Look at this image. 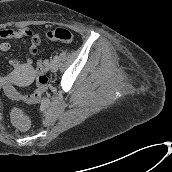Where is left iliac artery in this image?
I'll return each mask as SVG.
<instances>
[{"instance_id":"obj_1","label":"left iliac artery","mask_w":172,"mask_h":172,"mask_svg":"<svg viewBox=\"0 0 172 172\" xmlns=\"http://www.w3.org/2000/svg\"><path fill=\"white\" fill-rule=\"evenodd\" d=\"M58 59H59V57L56 55V56H54V60L55 61H58Z\"/></svg>"}]
</instances>
